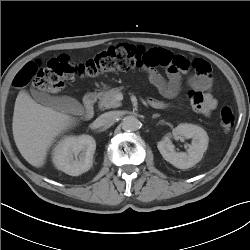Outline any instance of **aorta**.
<instances>
[{
  "mask_svg": "<svg viewBox=\"0 0 250 250\" xmlns=\"http://www.w3.org/2000/svg\"><path fill=\"white\" fill-rule=\"evenodd\" d=\"M141 125V122L132 115L124 117L122 122L123 129L129 131H136L141 128Z\"/></svg>",
  "mask_w": 250,
  "mask_h": 250,
  "instance_id": "aorta-1",
  "label": "aorta"
}]
</instances>
